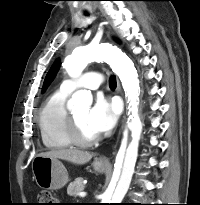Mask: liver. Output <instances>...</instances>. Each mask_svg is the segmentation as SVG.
<instances>
[{
	"label": "liver",
	"mask_w": 200,
	"mask_h": 205,
	"mask_svg": "<svg viewBox=\"0 0 200 205\" xmlns=\"http://www.w3.org/2000/svg\"><path fill=\"white\" fill-rule=\"evenodd\" d=\"M40 156L51 157L56 159H62L69 161L73 164L83 165L89 162L92 158V154L77 149H59L43 152Z\"/></svg>",
	"instance_id": "1"
}]
</instances>
